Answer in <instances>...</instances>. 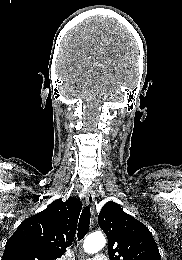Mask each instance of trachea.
<instances>
[{
	"label": "trachea",
	"instance_id": "1",
	"mask_svg": "<svg viewBox=\"0 0 182 260\" xmlns=\"http://www.w3.org/2000/svg\"><path fill=\"white\" fill-rule=\"evenodd\" d=\"M90 208L85 207L81 213L79 224H78V241H80L88 232L90 225Z\"/></svg>",
	"mask_w": 182,
	"mask_h": 260
}]
</instances>
